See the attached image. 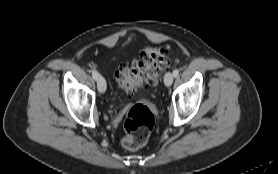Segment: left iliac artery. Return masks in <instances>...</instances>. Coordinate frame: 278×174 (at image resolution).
I'll return each mask as SVG.
<instances>
[{"label":"left iliac artery","instance_id":"44dca946","mask_svg":"<svg viewBox=\"0 0 278 174\" xmlns=\"http://www.w3.org/2000/svg\"><path fill=\"white\" fill-rule=\"evenodd\" d=\"M178 74H179V70H178V69H174V70H173V76H174V77H177Z\"/></svg>","mask_w":278,"mask_h":174}]
</instances>
